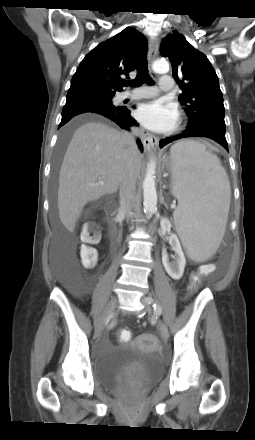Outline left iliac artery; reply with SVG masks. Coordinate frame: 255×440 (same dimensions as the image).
<instances>
[{
    "label": "left iliac artery",
    "instance_id": "44dca946",
    "mask_svg": "<svg viewBox=\"0 0 255 440\" xmlns=\"http://www.w3.org/2000/svg\"><path fill=\"white\" fill-rule=\"evenodd\" d=\"M146 301L149 304H152L154 307V311L157 315H161L162 314V308L160 307V305L152 298V297H147Z\"/></svg>",
    "mask_w": 255,
    "mask_h": 440
}]
</instances>
